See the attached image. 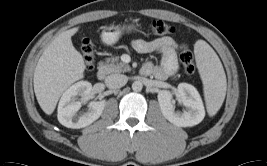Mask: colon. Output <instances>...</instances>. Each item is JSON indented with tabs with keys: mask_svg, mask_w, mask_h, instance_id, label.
I'll use <instances>...</instances> for the list:
<instances>
[{
	"mask_svg": "<svg viewBox=\"0 0 267 166\" xmlns=\"http://www.w3.org/2000/svg\"><path fill=\"white\" fill-rule=\"evenodd\" d=\"M151 31L155 35H168L174 33L175 29L163 20H154L151 23ZM81 50L86 68L89 70L93 69L95 54L92 41L89 39H84L82 41ZM180 60L188 74H194L196 72V66L193 61L192 53L185 44L181 46Z\"/></svg>",
	"mask_w": 267,
	"mask_h": 166,
	"instance_id": "obj_1",
	"label": "colon"
}]
</instances>
